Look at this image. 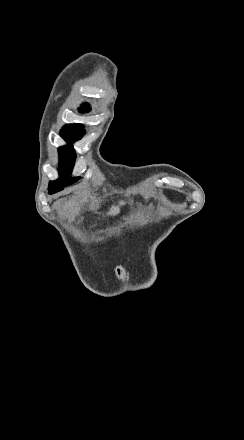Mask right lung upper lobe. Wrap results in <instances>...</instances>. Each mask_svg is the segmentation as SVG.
Masks as SVG:
<instances>
[{
  "label": "right lung upper lobe",
  "mask_w": 244,
  "mask_h": 440,
  "mask_svg": "<svg viewBox=\"0 0 244 440\" xmlns=\"http://www.w3.org/2000/svg\"><path fill=\"white\" fill-rule=\"evenodd\" d=\"M82 106H83V108L80 109L81 111H88L89 110V107L87 105H82Z\"/></svg>",
  "instance_id": "obj_1"
}]
</instances>
